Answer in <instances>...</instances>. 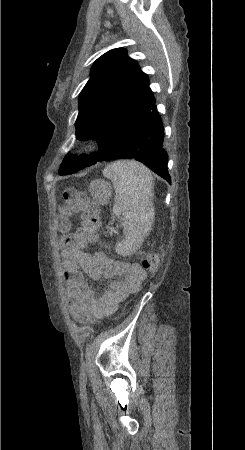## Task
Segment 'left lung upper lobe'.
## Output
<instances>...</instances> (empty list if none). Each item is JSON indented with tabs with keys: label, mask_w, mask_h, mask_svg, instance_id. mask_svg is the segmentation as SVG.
<instances>
[{
	"label": "left lung upper lobe",
	"mask_w": 245,
	"mask_h": 450,
	"mask_svg": "<svg viewBox=\"0 0 245 450\" xmlns=\"http://www.w3.org/2000/svg\"><path fill=\"white\" fill-rule=\"evenodd\" d=\"M155 102L148 76L123 49H113L97 59L91 77L79 96L76 138L99 140L98 157L67 154L60 175L71 174L119 151L133 135Z\"/></svg>",
	"instance_id": "1"
}]
</instances>
